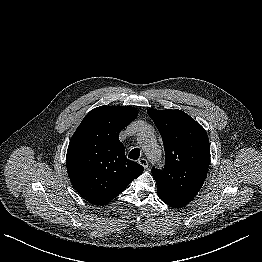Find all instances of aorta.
Masks as SVG:
<instances>
[{"label": "aorta", "mask_w": 262, "mask_h": 262, "mask_svg": "<svg viewBox=\"0 0 262 262\" xmlns=\"http://www.w3.org/2000/svg\"><path fill=\"white\" fill-rule=\"evenodd\" d=\"M138 141L142 144L144 152L152 163H158L162 158V152L158 145L152 142V133L143 131L138 135Z\"/></svg>", "instance_id": "aorta-1"}]
</instances>
